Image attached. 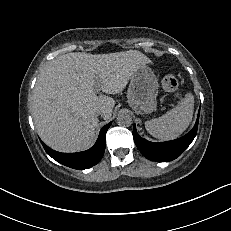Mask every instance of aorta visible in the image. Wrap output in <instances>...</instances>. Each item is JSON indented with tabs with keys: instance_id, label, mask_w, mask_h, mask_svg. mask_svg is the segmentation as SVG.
I'll use <instances>...</instances> for the list:
<instances>
[{
	"instance_id": "obj_1",
	"label": "aorta",
	"mask_w": 231,
	"mask_h": 231,
	"mask_svg": "<svg viewBox=\"0 0 231 231\" xmlns=\"http://www.w3.org/2000/svg\"><path fill=\"white\" fill-rule=\"evenodd\" d=\"M117 124L122 127H129L132 124V117L127 113H119L117 116Z\"/></svg>"
}]
</instances>
